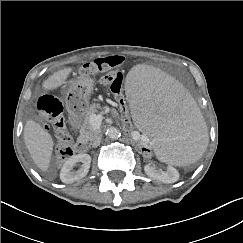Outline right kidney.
<instances>
[{
    "label": "right kidney",
    "instance_id": "right-kidney-1",
    "mask_svg": "<svg viewBox=\"0 0 243 243\" xmlns=\"http://www.w3.org/2000/svg\"><path fill=\"white\" fill-rule=\"evenodd\" d=\"M77 163H82V167L73 171V167ZM91 157L88 154H78L70 157L62 166L60 179L63 183H73L85 177L89 171Z\"/></svg>",
    "mask_w": 243,
    "mask_h": 243
}]
</instances>
